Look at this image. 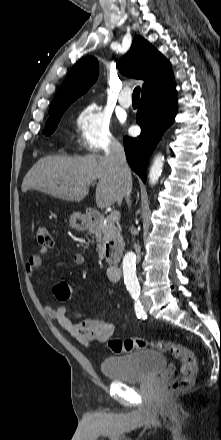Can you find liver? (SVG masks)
<instances>
[{"mask_svg":"<svg viewBox=\"0 0 221 440\" xmlns=\"http://www.w3.org/2000/svg\"><path fill=\"white\" fill-rule=\"evenodd\" d=\"M98 181L96 203L100 209L122 201L121 182L106 156L91 154L79 158L40 159L26 174L22 191L37 190L68 201H82Z\"/></svg>","mask_w":221,"mask_h":440,"instance_id":"1","label":"liver"}]
</instances>
